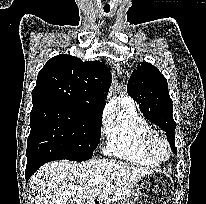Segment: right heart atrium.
Listing matches in <instances>:
<instances>
[{"mask_svg": "<svg viewBox=\"0 0 206 204\" xmlns=\"http://www.w3.org/2000/svg\"><path fill=\"white\" fill-rule=\"evenodd\" d=\"M106 122H107V114H106V112H103L101 115V118H100L101 127L105 128Z\"/></svg>", "mask_w": 206, "mask_h": 204, "instance_id": "d8ad5b80", "label": "right heart atrium"}]
</instances>
